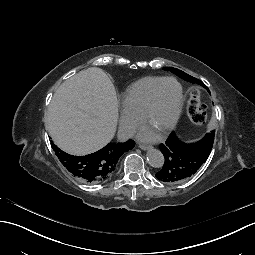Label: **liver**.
<instances>
[{
    "label": "liver",
    "instance_id": "liver-1",
    "mask_svg": "<svg viewBox=\"0 0 255 255\" xmlns=\"http://www.w3.org/2000/svg\"><path fill=\"white\" fill-rule=\"evenodd\" d=\"M117 121L115 87L101 68L91 67L59 86L48 107L45 124L61 150L86 155L113 139Z\"/></svg>",
    "mask_w": 255,
    "mask_h": 255
}]
</instances>
